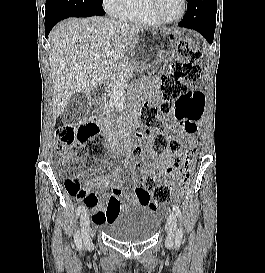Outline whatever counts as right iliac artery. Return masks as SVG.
<instances>
[{
    "label": "right iliac artery",
    "instance_id": "82829eb1",
    "mask_svg": "<svg viewBox=\"0 0 265 273\" xmlns=\"http://www.w3.org/2000/svg\"><path fill=\"white\" fill-rule=\"evenodd\" d=\"M84 211H85V206L83 204L79 205L76 211L77 216H79ZM74 241L78 248L82 247V240L78 231L75 232Z\"/></svg>",
    "mask_w": 265,
    "mask_h": 273
}]
</instances>
